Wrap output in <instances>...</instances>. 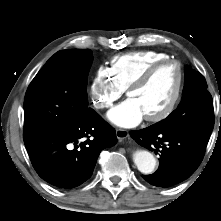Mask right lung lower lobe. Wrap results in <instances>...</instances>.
<instances>
[{
  "label": "right lung lower lobe",
  "mask_w": 221,
  "mask_h": 221,
  "mask_svg": "<svg viewBox=\"0 0 221 221\" xmlns=\"http://www.w3.org/2000/svg\"><path fill=\"white\" fill-rule=\"evenodd\" d=\"M116 142L115 130L91 108L68 130L24 137L38 175L63 189L76 187L89 179L100 152Z\"/></svg>",
  "instance_id": "obj_1"
}]
</instances>
